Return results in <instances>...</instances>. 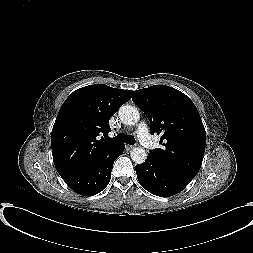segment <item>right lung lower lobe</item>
Listing matches in <instances>:
<instances>
[{"instance_id":"98d812e1","label":"right lung lower lobe","mask_w":253,"mask_h":253,"mask_svg":"<svg viewBox=\"0 0 253 253\" xmlns=\"http://www.w3.org/2000/svg\"><path fill=\"white\" fill-rule=\"evenodd\" d=\"M124 144H118L90 168L64 177L66 184L76 193L91 196L101 192L109 183L115 159L123 153Z\"/></svg>"}]
</instances>
